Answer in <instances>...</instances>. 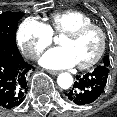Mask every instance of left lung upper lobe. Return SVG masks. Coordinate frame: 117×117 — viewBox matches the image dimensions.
<instances>
[{"label":"left lung upper lobe","mask_w":117,"mask_h":117,"mask_svg":"<svg viewBox=\"0 0 117 117\" xmlns=\"http://www.w3.org/2000/svg\"><path fill=\"white\" fill-rule=\"evenodd\" d=\"M101 65L105 66V67H110V60H109V56H105L103 59V62L101 63Z\"/></svg>","instance_id":"left-lung-upper-lobe-1"}]
</instances>
